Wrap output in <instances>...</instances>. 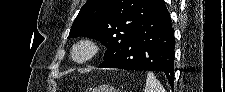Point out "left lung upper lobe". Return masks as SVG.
Returning a JSON list of instances; mask_svg holds the SVG:
<instances>
[{
    "label": "left lung upper lobe",
    "instance_id": "5c2ea615",
    "mask_svg": "<svg viewBox=\"0 0 225 92\" xmlns=\"http://www.w3.org/2000/svg\"><path fill=\"white\" fill-rule=\"evenodd\" d=\"M164 6V0H87L68 38L85 36L100 41L107 47L105 61Z\"/></svg>",
    "mask_w": 225,
    "mask_h": 92
}]
</instances>
